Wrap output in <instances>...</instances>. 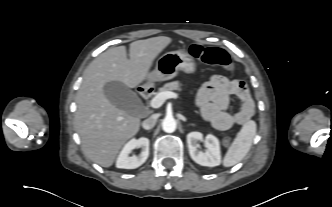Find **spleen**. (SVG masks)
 <instances>
[{
    "instance_id": "3e777b00",
    "label": "spleen",
    "mask_w": 332,
    "mask_h": 207,
    "mask_svg": "<svg viewBox=\"0 0 332 207\" xmlns=\"http://www.w3.org/2000/svg\"><path fill=\"white\" fill-rule=\"evenodd\" d=\"M256 136V123L253 120L246 122L237 137L229 147L223 165L231 167L239 163L249 152L253 139Z\"/></svg>"
}]
</instances>
